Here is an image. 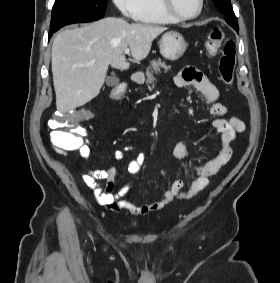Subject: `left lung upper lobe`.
I'll return each mask as SVG.
<instances>
[{"mask_svg":"<svg viewBox=\"0 0 280 283\" xmlns=\"http://www.w3.org/2000/svg\"><path fill=\"white\" fill-rule=\"evenodd\" d=\"M215 6L226 16V22L235 30H239L238 21L234 14L230 0H213Z\"/></svg>","mask_w":280,"mask_h":283,"instance_id":"left-lung-upper-lobe-1","label":"left lung upper lobe"}]
</instances>
